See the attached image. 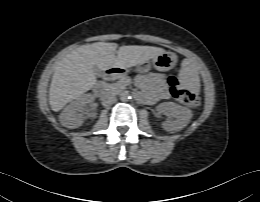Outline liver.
Returning a JSON list of instances; mask_svg holds the SVG:
<instances>
[{
  "instance_id": "1",
  "label": "liver",
  "mask_w": 260,
  "mask_h": 202,
  "mask_svg": "<svg viewBox=\"0 0 260 202\" xmlns=\"http://www.w3.org/2000/svg\"><path fill=\"white\" fill-rule=\"evenodd\" d=\"M97 42L78 47L67 54L56 66L49 90V104L55 112L77 99L96 83L93 68L101 71L112 67L130 68L162 53L164 49L152 46H121Z\"/></svg>"
}]
</instances>
